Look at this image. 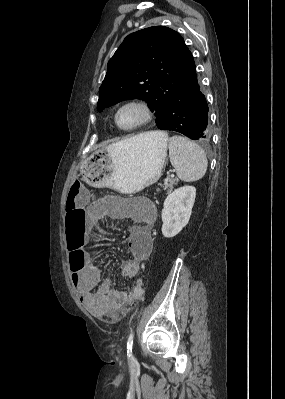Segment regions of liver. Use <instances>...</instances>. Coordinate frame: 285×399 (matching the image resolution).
Segmentation results:
<instances>
[{
	"label": "liver",
	"instance_id": "liver-1",
	"mask_svg": "<svg viewBox=\"0 0 285 399\" xmlns=\"http://www.w3.org/2000/svg\"><path fill=\"white\" fill-rule=\"evenodd\" d=\"M157 132L156 131H154V132H147V133H143V134H140L141 136H145V137H148V138H151V139H155L156 138V136H157ZM111 146V145H110ZM110 146H108L107 148H109Z\"/></svg>",
	"mask_w": 285,
	"mask_h": 399
}]
</instances>
